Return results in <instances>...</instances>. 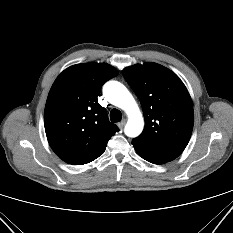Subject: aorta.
I'll list each match as a JSON object with an SVG mask.
<instances>
[{"mask_svg": "<svg viewBox=\"0 0 233 233\" xmlns=\"http://www.w3.org/2000/svg\"><path fill=\"white\" fill-rule=\"evenodd\" d=\"M105 98L113 105L123 109L128 115L125 134L137 137L143 130L144 119L139 107L128 89L117 81H109L103 88Z\"/></svg>", "mask_w": 233, "mask_h": 233, "instance_id": "1", "label": "aorta"}]
</instances>
